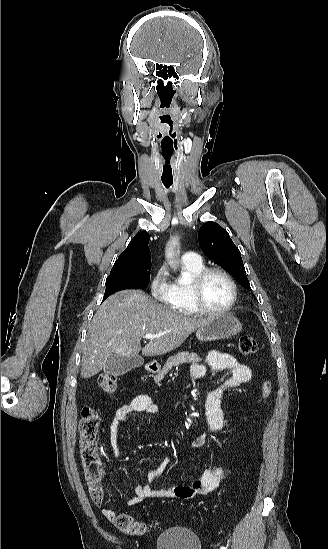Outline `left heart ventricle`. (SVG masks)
<instances>
[{"label":"left heart ventricle","mask_w":328,"mask_h":549,"mask_svg":"<svg viewBox=\"0 0 328 549\" xmlns=\"http://www.w3.org/2000/svg\"><path fill=\"white\" fill-rule=\"evenodd\" d=\"M205 301L204 308L221 309L231 299L232 287L228 279L218 272L210 273L203 282L201 289Z\"/></svg>","instance_id":"b2bd125f"}]
</instances>
